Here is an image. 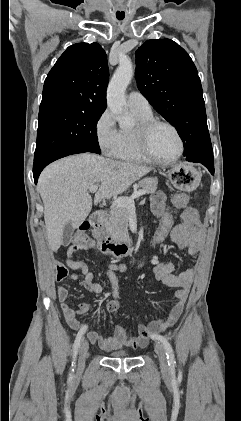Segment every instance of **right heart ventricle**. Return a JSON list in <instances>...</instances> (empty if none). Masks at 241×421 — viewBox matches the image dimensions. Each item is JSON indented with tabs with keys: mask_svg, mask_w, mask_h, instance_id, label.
Returning <instances> with one entry per match:
<instances>
[{
	"mask_svg": "<svg viewBox=\"0 0 241 421\" xmlns=\"http://www.w3.org/2000/svg\"><path fill=\"white\" fill-rule=\"evenodd\" d=\"M132 112L136 116L138 124L153 118L151 112L143 113L135 110H132ZM137 126L132 129H121L119 131V142L114 157L126 162L150 163L151 161L143 155L138 146L136 137Z\"/></svg>",
	"mask_w": 241,
	"mask_h": 421,
	"instance_id": "1",
	"label": "right heart ventricle"
}]
</instances>
